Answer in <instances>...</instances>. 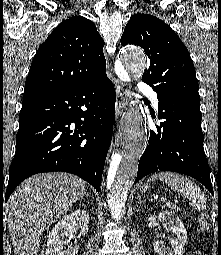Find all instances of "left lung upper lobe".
<instances>
[{"mask_svg": "<svg viewBox=\"0 0 221 255\" xmlns=\"http://www.w3.org/2000/svg\"><path fill=\"white\" fill-rule=\"evenodd\" d=\"M121 44L144 49L149 67L142 80L152 86L158 101H171L200 111L198 81L190 54L171 27L155 16H131Z\"/></svg>", "mask_w": 221, "mask_h": 255, "instance_id": "left-lung-upper-lobe-1", "label": "left lung upper lobe"}]
</instances>
